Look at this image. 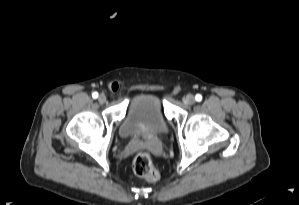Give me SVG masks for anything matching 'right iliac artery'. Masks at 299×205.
Here are the masks:
<instances>
[{
	"label": "right iliac artery",
	"mask_w": 299,
	"mask_h": 205,
	"mask_svg": "<svg viewBox=\"0 0 299 205\" xmlns=\"http://www.w3.org/2000/svg\"><path fill=\"white\" fill-rule=\"evenodd\" d=\"M92 97H93L94 99H96V98L98 97V93H97V92H93Z\"/></svg>",
	"instance_id": "obj_1"
}]
</instances>
